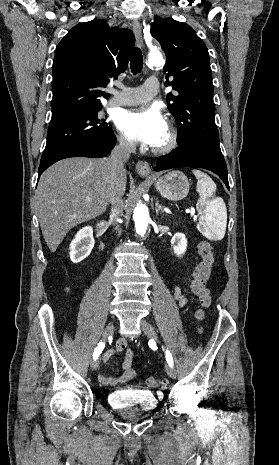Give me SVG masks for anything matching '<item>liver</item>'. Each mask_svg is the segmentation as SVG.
Wrapping results in <instances>:
<instances>
[{"label": "liver", "mask_w": 279, "mask_h": 465, "mask_svg": "<svg viewBox=\"0 0 279 465\" xmlns=\"http://www.w3.org/2000/svg\"><path fill=\"white\" fill-rule=\"evenodd\" d=\"M106 159L67 158L50 166L40 177L36 211L45 242L55 252L73 227L105 212L110 193ZM127 176H121L126 190ZM89 197L90 201L86 198Z\"/></svg>", "instance_id": "obj_1"}]
</instances>
